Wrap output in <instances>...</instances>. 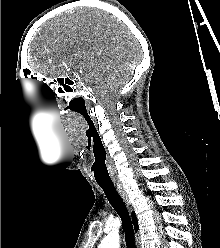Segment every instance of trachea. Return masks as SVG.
<instances>
[{
  "label": "trachea",
  "mask_w": 220,
  "mask_h": 248,
  "mask_svg": "<svg viewBox=\"0 0 220 248\" xmlns=\"http://www.w3.org/2000/svg\"><path fill=\"white\" fill-rule=\"evenodd\" d=\"M103 189L109 203L116 210L122 220L127 248H136L134 230L125 203L116 191L113 183L99 184Z\"/></svg>",
  "instance_id": "trachea-1"
}]
</instances>
